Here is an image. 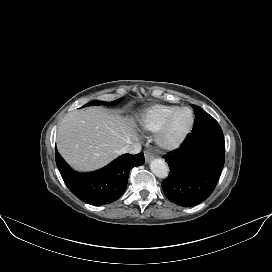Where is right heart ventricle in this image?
Segmentation results:
<instances>
[{"label": "right heart ventricle", "mask_w": 272, "mask_h": 272, "mask_svg": "<svg viewBox=\"0 0 272 272\" xmlns=\"http://www.w3.org/2000/svg\"><path fill=\"white\" fill-rule=\"evenodd\" d=\"M176 108L172 105H155L141 114L139 122L145 130L158 131L165 119Z\"/></svg>", "instance_id": "1"}]
</instances>
